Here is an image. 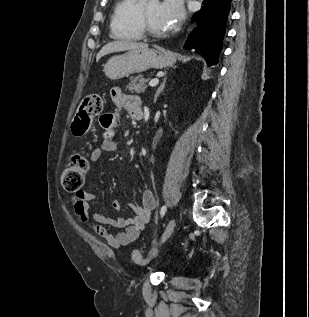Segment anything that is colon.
Instances as JSON below:
<instances>
[{
  "label": "colon",
  "instance_id": "1",
  "mask_svg": "<svg viewBox=\"0 0 309 317\" xmlns=\"http://www.w3.org/2000/svg\"><path fill=\"white\" fill-rule=\"evenodd\" d=\"M103 104V98L98 94L88 95L81 101L72 123L75 135L82 136L89 131L93 119L101 114ZM88 169V161L81 154L75 153L70 156L61 173L60 180L63 189L69 193L79 192ZM132 257L136 263L143 262L138 251H133Z\"/></svg>",
  "mask_w": 309,
  "mask_h": 317
}]
</instances>
